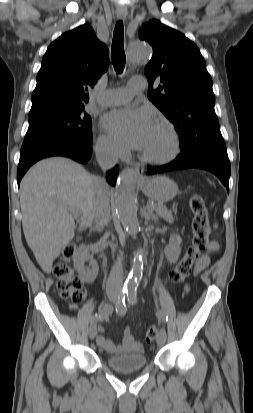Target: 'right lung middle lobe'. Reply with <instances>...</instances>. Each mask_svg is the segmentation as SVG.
Masks as SVG:
<instances>
[{
  "label": "right lung middle lobe",
  "mask_w": 253,
  "mask_h": 413,
  "mask_svg": "<svg viewBox=\"0 0 253 413\" xmlns=\"http://www.w3.org/2000/svg\"><path fill=\"white\" fill-rule=\"evenodd\" d=\"M64 142L92 143V122L84 105L29 112L21 152Z\"/></svg>",
  "instance_id": "obj_1"
}]
</instances>
